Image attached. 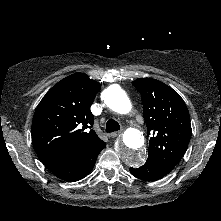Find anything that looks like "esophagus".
Segmentation results:
<instances>
[{"label":"esophagus","mask_w":221,"mask_h":221,"mask_svg":"<svg viewBox=\"0 0 221 221\" xmlns=\"http://www.w3.org/2000/svg\"><path fill=\"white\" fill-rule=\"evenodd\" d=\"M121 134H122V131L112 132V133L110 134V137L115 138V137H117V136H119V135H121Z\"/></svg>","instance_id":"1"}]
</instances>
